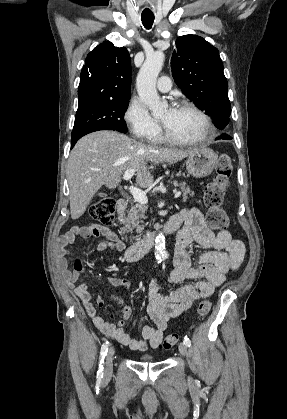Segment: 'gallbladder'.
<instances>
[{"label": "gallbladder", "mask_w": 287, "mask_h": 419, "mask_svg": "<svg viewBox=\"0 0 287 419\" xmlns=\"http://www.w3.org/2000/svg\"><path fill=\"white\" fill-rule=\"evenodd\" d=\"M105 194L104 193H98V196H104Z\"/></svg>", "instance_id": "bac80fb5"}]
</instances>
